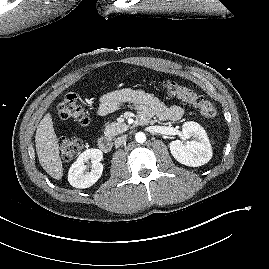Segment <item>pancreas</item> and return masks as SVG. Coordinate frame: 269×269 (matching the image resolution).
<instances>
[{
  "label": "pancreas",
  "mask_w": 269,
  "mask_h": 269,
  "mask_svg": "<svg viewBox=\"0 0 269 269\" xmlns=\"http://www.w3.org/2000/svg\"><path fill=\"white\" fill-rule=\"evenodd\" d=\"M127 129H128L127 124L113 122L111 124L106 125L104 134L105 136L111 138L126 131Z\"/></svg>",
  "instance_id": "1"
}]
</instances>
